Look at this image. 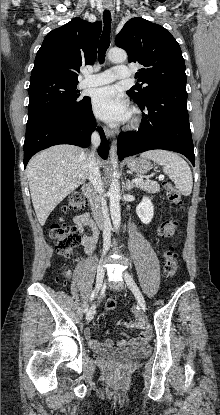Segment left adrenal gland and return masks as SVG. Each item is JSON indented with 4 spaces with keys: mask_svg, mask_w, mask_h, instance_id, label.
Wrapping results in <instances>:
<instances>
[{
    "mask_svg": "<svg viewBox=\"0 0 220 415\" xmlns=\"http://www.w3.org/2000/svg\"><path fill=\"white\" fill-rule=\"evenodd\" d=\"M134 187L135 186L130 182V180H128L127 183H126V190L129 192Z\"/></svg>",
    "mask_w": 220,
    "mask_h": 415,
    "instance_id": "a2214340",
    "label": "left adrenal gland"
}]
</instances>
